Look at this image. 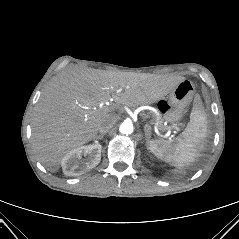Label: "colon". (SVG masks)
<instances>
[{
  "mask_svg": "<svg viewBox=\"0 0 239 239\" xmlns=\"http://www.w3.org/2000/svg\"><path fill=\"white\" fill-rule=\"evenodd\" d=\"M160 109H161L162 112L166 113V112L169 111L170 107H169V105L167 103L162 102L160 104Z\"/></svg>",
  "mask_w": 239,
  "mask_h": 239,
  "instance_id": "1",
  "label": "colon"
}]
</instances>
